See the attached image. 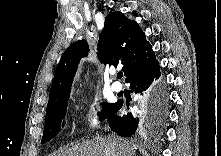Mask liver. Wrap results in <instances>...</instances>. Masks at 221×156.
<instances>
[{
	"label": "liver",
	"mask_w": 221,
	"mask_h": 156,
	"mask_svg": "<svg viewBox=\"0 0 221 156\" xmlns=\"http://www.w3.org/2000/svg\"><path fill=\"white\" fill-rule=\"evenodd\" d=\"M136 146L119 137H98L72 144L54 156H133Z\"/></svg>",
	"instance_id": "1"
}]
</instances>
